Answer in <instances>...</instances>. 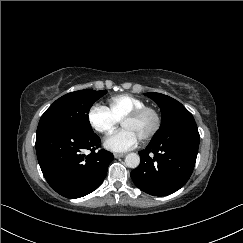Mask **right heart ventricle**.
I'll list each match as a JSON object with an SVG mask.
<instances>
[{
	"instance_id": "obj_1",
	"label": "right heart ventricle",
	"mask_w": 243,
	"mask_h": 243,
	"mask_svg": "<svg viewBox=\"0 0 243 243\" xmlns=\"http://www.w3.org/2000/svg\"><path fill=\"white\" fill-rule=\"evenodd\" d=\"M109 110L118 119L121 120L124 116L134 111L135 109L145 107L146 103L128 94L116 95L108 101Z\"/></svg>"
}]
</instances>
